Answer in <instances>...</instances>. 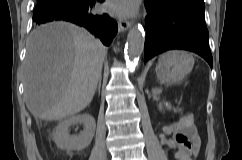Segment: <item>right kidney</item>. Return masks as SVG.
<instances>
[{
	"mask_svg": "<svg viewBox=\"0 0 242 160\" xmlns=\"http://www.w3.org/2000/svg\"><path fill=\"white\" fill-rule=\"evenodd\" d=\"M75 124H83L84 130L78 135H70L68 129ZM96 129L93 116L84 113L72 116L60 122L52 135L57 147L66 150H82L88 147L92 141Z\"/></svg>",
	"mask_w": 242,
	"mask_h": 160,
	"instance_id": "right-kidney-1",
	"label": "right kidney"
}]
</instances>
